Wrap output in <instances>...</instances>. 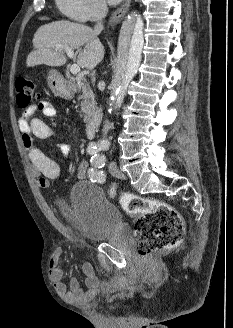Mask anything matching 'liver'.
Segmentation results:
<instances>
[{
  "instance_id": "liver-1",
  "label": "liver",
  "mask_w": 233,
  "mask_h": 328,
  "mask_svg": "<svg viewBox=\"0 0 233 328\" xmlns=\"http://www.w3.org/2000/svg\"><path fill=\"white\" fill-rule=\"evenodd\" d=\"M91 27L71 21H55L38 28L33 38V50L26 65L34 67L45 64L62 66L66 63L65 49H57L56 44L79 49L77 65L92 70L104 56V47Z\"/></svg>"
}]
</instances>
